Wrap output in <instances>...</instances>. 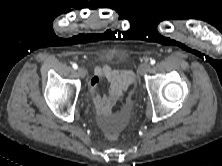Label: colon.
Returning <instances> with one entry per match:
<instances>
[{"label": "colon", "mask_w": 222, "mask_h": 166, "mask_svg": "<svg viewBox=\"0 0 222 166\" xmlns=\"http://www.w3.org/2000/svg\"><path fill=\"white\" fill-rule=\"evenodd\" d=\"M107 137L111 140H115L117 138V133L115 131H108Z\"/></svg>", "instance_id": "obj_1"}]
</instances>
